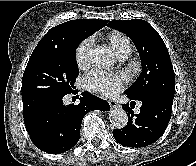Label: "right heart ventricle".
Segmentation results:
<instances>
[{
	"label": "right heart ventricle",
	"mask_w": 196,
	"mask_h": 166,
	"mask_svg": "<svg viewBox=\"0 0 196 166\" xmlns=\"http://www.w3.org/2000/svg\"><path fill=\"white\" fill-rule=\"evenodd\" d=\"M109 42L116 55L124 51L130 52L131 50V43L129 39L122 34H118V33L111 34L109 36Z\"/></svg>",
	"instance_id": "right-heart-ventricle-1"
}]
</instances>
